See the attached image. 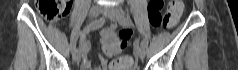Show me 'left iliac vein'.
Masks as SVG:
<instances>
[{
	"mask_svg": "<svg viewBox=\"0 0 238 70\" xmlns=\"http://www.w3.org/2000/svg\"><path fill=\"white\" fill-rule=\"evenodd\" d=\"M103 14L108 17L111 21H119L121 19V11L117 7L105 8ZM137 55L140 59H143L145 56V50L141 46L137 47Z\"/></svg>",
	"mask_w": 238,
	"mask_h": 70,
	"instance_id": "obj_1",
	"label": "left iliac vein"
}]
</instances>
